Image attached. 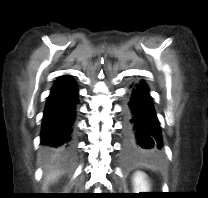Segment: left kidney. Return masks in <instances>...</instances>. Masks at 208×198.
Returning <instances> with one entry per match:
<instances>
[{"mask_svg": "<svg viewBox=\"0 0 208 198\" xmlns=\"http://www.w3.org/2000/svg\"><path fill=\"white\" fill-rule=\"evenodd\" d=\"M134 193L149 192L147 176L143 172H136L133 178Z\"/></svg>", "mask_w": 208, "mask_h": 198, "instance_id": "1", "label": "left kidney"}]
</instances>
